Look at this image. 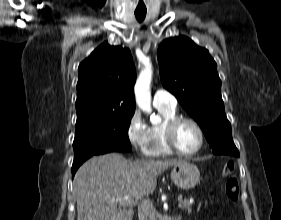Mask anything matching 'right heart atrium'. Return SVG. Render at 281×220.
Segmentation results:
<instances>
[{"label": "right heart atrium", "mask_w": 281, "mask_h": 220, "mask_svg": "<svg viewBox=\"0 0 281 220\" xmlns=\"http://www.w3.org/2000/svg\"><path fill=\"white\" fill-rule=\"evenodd\" d=\"M126 135L133 148L139 152H145L148 144L149 127L138 110H135L129 118Z\"/></svg>", "instance_id": "1"}]
</instances>
